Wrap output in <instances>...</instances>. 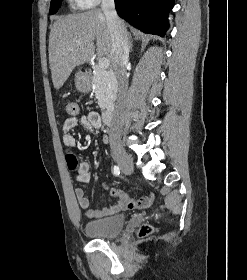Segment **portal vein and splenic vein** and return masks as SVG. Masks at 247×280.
Returning <instances> with one entry per match:
<instances>
[{
	"mask_svg": "<svg viewBox=\"0 0 247 280\" xmlns=\"http://www.w3.org/2000/svg\"><path fill=\"white\" fill-rule=\"evenodd\" d=\"M109 65H110L109 59H107V58H101V59H99V62H98L99 68H101V69H107V68L109 67Z\"/></svg>",
	"mask_w": 247,
	"mask_h": 280,
	"instance_id": "portal-vein-and-splenic-vein-1",
	"label": "portal vein and splenic vein"
}]
</instances>
